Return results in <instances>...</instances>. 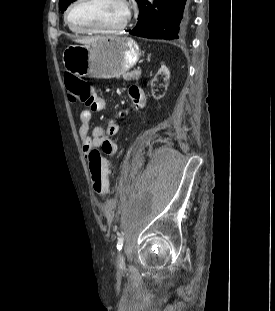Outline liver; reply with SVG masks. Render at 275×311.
Listing matches in <instances>:
<instances>
[{
	"instance_id": "obj_1",
	"label": "liver",
	"mask_w": 275,
	"mask_h": 311,
	"mask_svg": "<svg viewBox=\"0 0 275 311\" xmlns=\"http://www.w3.org/2000/svg\"><path fill=\"white\" fill-rule=\"evenodd\" d=\"M103 37H93V38H89V39H83V40H79V42L84 43V44H89L91 42H94L98 39H101Z\"/></svg>"
}]
</instances>
